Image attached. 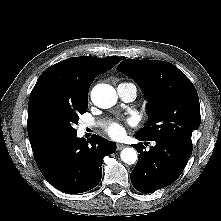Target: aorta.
<instances>
[{
	"label": "aorta",
	"instance_id": "1",
	"mask_svg": "<svg viewBox=\"0 0 221 221\" xmlns=\"http://www.w3.org/2000/svg\"><path fill=\"white\" fill-rule=\"evenodd\" d=\"M115 89L108 84H97L91 91V100L99 108H110L117 102ZM121 160L128 164L136 163L138 159L137 151L132 147L124 148L120 153Z\"/></svg>",
	"mask_w": 221,
	"mask_h": 221
}]
</instances>
